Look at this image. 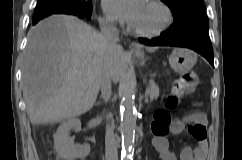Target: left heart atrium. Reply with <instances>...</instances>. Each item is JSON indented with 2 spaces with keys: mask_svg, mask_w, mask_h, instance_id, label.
Instances as JSON below:
<instances>
[{
  "mask_svg": "<svg viewBox=\"0 0 242 160\" xmlns=\"http://www.w3.org/2000/svg\"><path fill=\"white\" fill-rule=\"evenodd\" d=\"M144 0H103L105 12L113 19L134 25Z\"/></svg>",
  "mask_w": 242,
  "mask_h": 160,
  "instance_id": "obj_1",
  "label": "left heart atrium"
}]
</instances>
